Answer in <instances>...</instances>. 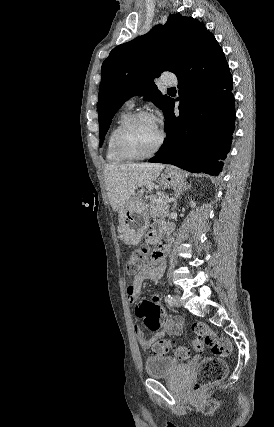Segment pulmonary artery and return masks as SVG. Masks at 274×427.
<instances>
[{
	"label": "pulmonary artery",
	"instance_id": "e3ab8cb5",
	"mask_svg": "<svg viewBox=\"0 0 274 427\" xmlns=\"http://www.w3.org/2000/svg\"><path fill=\"white\" fill-rule=\"evenodd\" d=\"M165 82H166V84H168V85H173V84L176 82V79H175L173 76H168V77H166ZM134 106H135V100H134V98H131V99H129V100L126 102V107H127L128 109H131V108H133Z\"/></svg>",
	"mask_w": 274,
	"mask_h": 427
}]
</instances>
